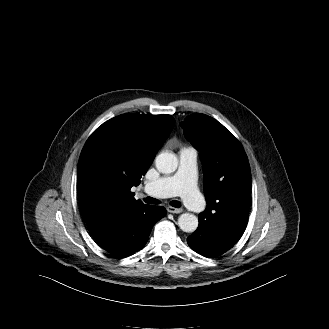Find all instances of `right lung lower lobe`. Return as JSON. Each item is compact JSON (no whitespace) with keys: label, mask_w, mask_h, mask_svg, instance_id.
Segmentation results:
<instances>
[{"label":"right lung lower lobe","mask_w":329,"mask_h":329,"mask_svg":"<svg viewBox=\"0 0 329 329\" xmlns=\"http://www.w3.org/2000/svg\"><path fill=\"white\" fill-rule=\"evenodd\" d=\"M165 214L164 207L139 205L107 210L86 223L89 232L107 252L122 257L142 249L152 227Z\"/></svg>","instance_id":"98d812e1"}]
</instances>
